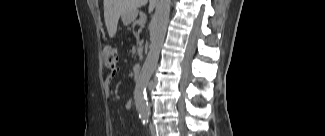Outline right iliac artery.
Here are the masks:
<instances>
[{"instance_id":"obj_1","label":"right iliac artery","mask_w":325,"mask_h":136,"mask_svg":"<svg viewBox=\"0 0 325 136\" xmlns=\"http://www.w3.org/2000/svg\"><path fill=\"white\" fill-rule=\"evenodd\" d=\"M139 118L141 119L142 123L145 125L148 123V116L145 114H140Z\"/></svg>"}]
</instances>
